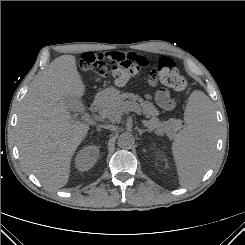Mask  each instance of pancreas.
I'll use <instances>...</instances> for the list:
<instances>
[{
	"instance_id": "1",
	"label": "pancreas",
	"mask_w": 245,
	"mask_h": 245,
	"mask_svg": "<svg viewBox=\"0 0 245 245\" xmlns=\"http://www.w3.org/2000/svg\"><path fill=\"white\" fill-rule=\"evenodd\" d=\"M135 107L142 112L146 118V125L151 131L157 135H172L182 128V121L179 119L171 118L167 121H159L156 117L159 113L157 108L149 102L143 100L138 95L133 93H123L117 95L115 99L102 111V117L110 122H119L121 115L127 112V109Z\"/></svg>"
}]
</instances>
